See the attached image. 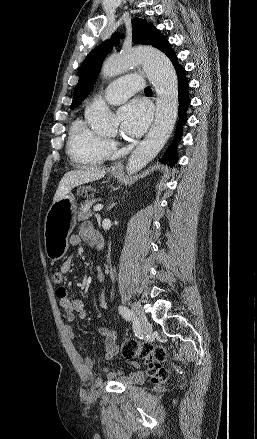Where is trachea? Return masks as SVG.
Wrapping results in <instances>:
<instances>
[{
  "label": "trachea",
  "instance_id": "obj_1",
  "mask_svg": "<svg viewBox=\"0 0 257 439\" xmlns=\"http://www.w3.org/2000/svg\"><path fill=\"white\" fill-rule=\"evenodd\" d=\"M144 91H145V93H149V92H152V89L150 87H146Z\"/></svg>",
  "mask_w": 257,
  "mask_h": 439
}]
</instances>
